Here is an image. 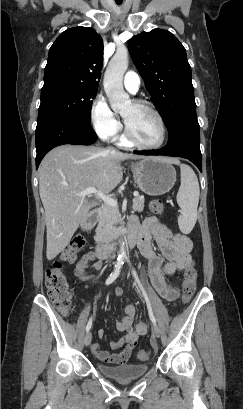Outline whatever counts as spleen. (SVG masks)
Listing matches in <instances>:
<instances>
[{
  "label": "spleen",
  "mask_w": 243,
  "mask_h": 409,
  "mask_svg": "<svg viewBox=\"0 0 243 409\" xmlns=\"http://www.w3.org/2000/svg\"><path fill=\"white\" fill-rule=\"evenodd\" d=\"M181 185L177 193V203L182 213L178 217L180 230L190 233L197 221V207L199 203V183L193 169L185 164H180Z\"/></svg>",
  "instance_id": "1"
}]
</instances>
